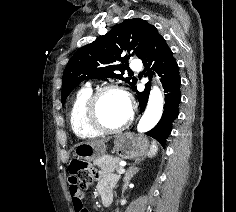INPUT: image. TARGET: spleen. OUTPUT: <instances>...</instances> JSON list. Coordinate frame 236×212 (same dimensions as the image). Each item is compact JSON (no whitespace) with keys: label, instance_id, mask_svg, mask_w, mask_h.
Masks as SVG:
<instances>
[{"label":"spleen","instance_id":"3e777b00","mask_svg":"<svg viewBox=\"0 0 236 212\" xmlns=\"http://www.w3.org/2000/svg\"><path fill=\"white\" fill-rule=\"evenodd\" d=\"M158 151V146L155 141L152 142V145L150 147V151L148 152L149 157H154Z\"/></svg>","mask_w":236,"mask_h":212}]
</instances>
